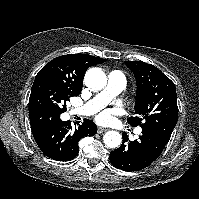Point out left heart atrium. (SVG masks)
<instances>
[{"label":"left heart atrium","instance_id":"obj_1","mask_svg":"<svg viewBox=\"0 0 199 199\" xmlns=\"http://www.w3.org/2000/svg\"><path fill=\"white\" fill-rule=\"evenodd\" d=\"M109 119V114L108 112H101L98 116H97V120L100 122H105Z\"/></svg>","mask_w":199,"mask_h":199}]
</instances>
